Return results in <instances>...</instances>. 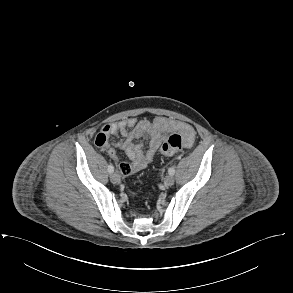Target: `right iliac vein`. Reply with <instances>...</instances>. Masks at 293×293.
Listing matches in <instances>:
<instances>
[{"instance_id": "obj_1", "label": "right iliac vein", "mask_w": 293, "mask_h": 293, "mask_svg": "<svg viewBox=\"0 0 293 293\" xmlns=\"http://www.w3.org/2000/svg\"><path fill=\"white\" fill-rule=\"evenodd\" d=\"M110 180L114 184H118L120 182V175L117 172L111 173Z\"/></svg>"}]
</instances>
